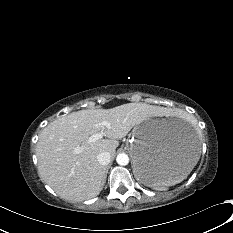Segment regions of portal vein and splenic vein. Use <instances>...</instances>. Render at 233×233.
I'll use <instances>...</instances> for the list:
<instances>
[{
    "instance_id": "obj_1",
    "label": "portal vein and splenic vein",
    "mask_w": 233,
    "mask_h": 233,
    "mask_svg": "<svg viewBox=\"0 0 233 233\" xmlns=\"http://www.w3.org/2000/svg\"><path fill=\"white\" fill-rule=\"evenodd\" d=\"M100 125H103V126H106L107 128H110V123H109L108 121H103V122L100 123ZM104 136H105V133H103V132L93 134V135H91V136L89 137L88 142H89V143H93V142H95V141H97V140L102 139ZM75 151H76L77 153H79V152L81 151V148H80V147H77V148L75 149Z\"/></svg>"
}]
</instances>
